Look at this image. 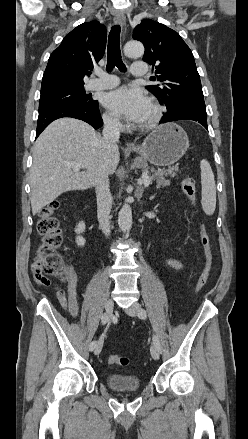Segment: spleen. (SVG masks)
I'll return each mask as SVG.
<instances>
[{
  "mask_svg": "<svg viewBox=\"0 0 248 439\" xmlns=\"http://www.w3.org/2000/svg\"><path fill=\"white\" fill-rule=\"evenodd\" d=\"M202 199L201 204L207 215H212L216 208V186L214 174L209 162L205 159L200 162Z\"/></svg>",
  "mask_w": 248,
  "mask_h": 439,
  "instance_id": "spleen-1",
  "label": "spleen"
}]
</instances>
